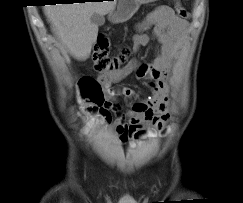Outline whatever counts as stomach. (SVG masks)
Instances as JSON below:
<instances>
[{
	"label": "stomach",
	"mask_w": 243,
	"mask_h": 203,
	"mask_svg": "<svg viewBox=\"0 0 243 203\" xmlns=\"http://www.w3.org/2000/svg\"><path fill=\"white\" fill-rule=\"evenodd\" d=\"M155 1L157 0H117L115 6L109 12L108 19L115 24L123 23L137 12L141 4Z\"/></svg>",
	"instance_id": "1"
}]
</instances>
